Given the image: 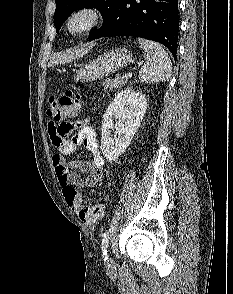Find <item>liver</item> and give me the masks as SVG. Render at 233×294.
<instances>
[{
  "label": "liver",
  "instance_id": "liver-1",
  "mask_svg": "<svg viewBox=\"0 0 233 294\" xmlns=\"http://www.w3.org/2000/svg\"><path fill=\"white\" fill-rule=\"evenodd\" d=\"M88 51H89V49L85 48V49H78L76 51L68 52L66 54H63L61 56H58V57L52 59L49 65L52 66V65L59 64V63L70 62L78 57H81V56L87 54Z\"/></svg>",
  "mask_w": 233,
  "mask_h": 294
}]
</instances>
